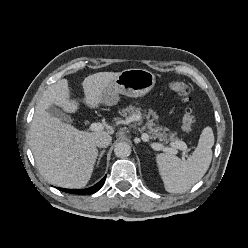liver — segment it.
I'll use <instances>...</instances> for the list:
<instances>
[{"instance_id":"liver-1","label":"liver","mask_w":248,"mask_h":248,"mask_svg":"<svg viewBox=\"0 0 248 248\" xmlns=\"http://www.w3.org/2000/svg\"><path fill=\"white\" fill-rule=\"evenodd\" d=\"M119 73L99 72L83 80V102L89 108L101 104L103 90ZM61 107L67 113L78 109V102L70 98L67 79L49 86L39 99L30 127V146L40 174L58 187L79 189L87 185L98 156L95 140L114 130L86 132L51 116L48 108Z\"/></svg>"}]
</instances>
